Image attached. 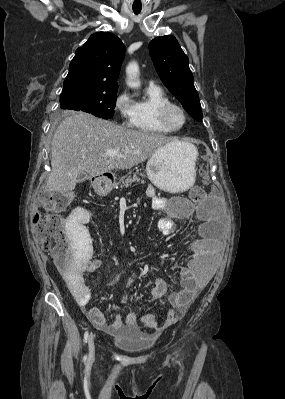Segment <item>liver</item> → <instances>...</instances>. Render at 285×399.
Listing matches in <instances>:
<instances>
[{"instance_id":"obj_1","label":"liver","mask_w":285,"mask_h":399,"mask_svg":"<svg viewBox=\"0 0 285 399\" xmlns=\"http://www.w3.org/2000/svg\"><path fill=\"white\" fill-rule=\"evenodd\" d=\"M170 138L116 125L83 112H72L57 127L51 146L48 193L73 191L80 173L100 177L115 169H130L162 147ZM123 157H108L107 151Z\"/></svg>"}]
</instances>
